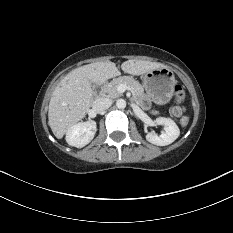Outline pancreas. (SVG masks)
I'll return each instance as SVG.
<instances>
[{
  "label": "pancreas",
  "mask_w": 233,
  "mask_h": 233,
  "mask_svg": "<svg viewBox=\"0 0 233 233\" xmlns=\"http://www.w3.org/2000/svg\"><path fill=\"white\" fill-rule=\"evenodd\" d=\"M120 85L128 87L136 96L144 92L143 86L130 76H122L113 79L110 83L103 86L102 92L107 94L110 98H117L122 95V93L118 91Z\"/></svg>",
  "instance_id": "cf45deb5"
}]
</instances>
